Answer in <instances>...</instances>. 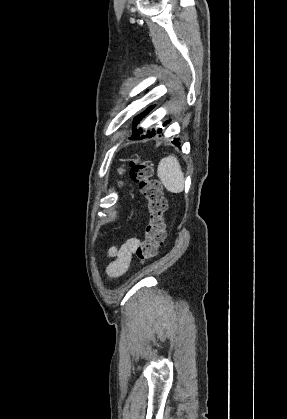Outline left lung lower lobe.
Listing matches in <instances>:
<instances>
[{"label": "left lung lower lobe", "mask_w": 287, "mask_h": 419, "mask_svg": "<svg viewBox=\"0 0 287 419\" xmlns=\"http://www.w3.org/2000/svg\"><path fill=\"white\" fill-rule=\"evenodd\" d=\"M154 108V106H151L149 108H147L143 113H141L140 115H138L137 117H135L134 121H133V134L132 136L129 138L130 140H142L145 138H151L153 136H155L157 133H161L162 129H158L157 131L153 130V131H148L147 133H144L142 129L137 130L136 129V125L137 123H139L143 117L145 115H147L152 109ZM165 125V123H164ZM173 143L175 145H179V139H174Z\"/></svg>", "instance_id": "0a47b994"}]
</instances>
